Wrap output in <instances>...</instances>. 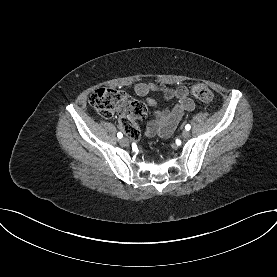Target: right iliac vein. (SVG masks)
<instances>
[{"instance_id": "1", "label": "right iliac vein", "mask_w": 277, "mask_h": 277, "mask_svg": "<svg viewBox=\"0 0 277 277\" xmlns=\"http://www.w3.org/2000/svg\"><path fill=\"white\" fill-rule=\"evenodd\" d=\"M119 143L122 146H128L129 145V140L124 137V138L120 139Z\"/></svg>"}]
</instances>
